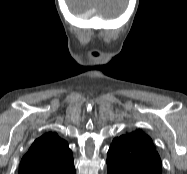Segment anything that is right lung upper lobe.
Here are the masks:
<instances>
[{
    "label": "right lung upper lobe",
    "mask_w": 187,
    "mask_h": 174,
    "mask_svg": "<svg viewBox=\"0 0 187 174\" xmlns=\"http://www.w3.org/2000/svg\"><path fill=\"white\" fill-rule=\"evenodd\" d=\"M75 172L72 152L56 133H47L34 141L23 156L19 174H71Z\"/></svg>",
    "instance_id": "obj_1"
}]
</instances>
